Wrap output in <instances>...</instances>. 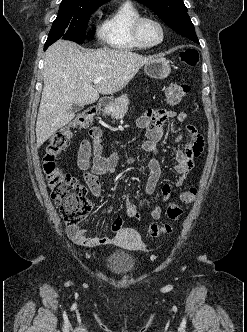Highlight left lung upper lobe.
Wrapping results in <instances>:
<instances>
[{
    "mask_svg": "<svg viewBox=\"0 0 247 332\" xmlns=\"http://www.w3.org/2000/svg\"><path fill=\"white\" fill-rule=\"evenodd\" d=\"M153 10L159 18L178 34L199 43L195 28L187 14L183 0H136Z\"/></svg>",
    "mask_w": 247,
    "mask_h": 332,
    "instance_id": "5c2ea615",
    "label": "left lung upper lobe"
}]
</instances>
